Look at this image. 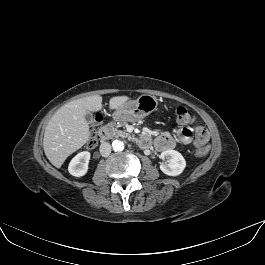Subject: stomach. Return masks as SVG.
<instances>
[{
	"mask_svg": "<svg viewBox=\"0 0 265 265\" xmlns=\"http://www.w3.org/2000/svg\"><path fill=\"white\" fill-rule=\"evenodd\" d=\"M158 99L149 94L141 95L137 100H130L119 106L114 112V118L123 121L135 122L155 111Z\"/></svg>",
	"mask_w": 265,
	"mask_h": 265,
	"instance_id": "obj_1",
	"label": "stomach"
}]
</instances>
